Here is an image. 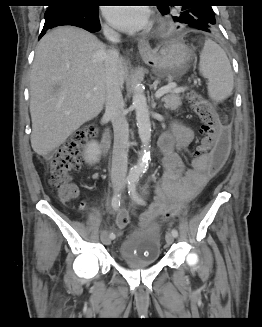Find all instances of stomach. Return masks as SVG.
I'll return each mask as SVG.
<instances>
[{
    "instance_id": "obj_1",
    "label": "stomach",
    "mask_w": 262,
    "mask_h": 327,
    "mask_svg": "<svg viewBox=\"0 0 262 327\" xmlns=\"http://www.w3.org/2000/svg\"><path fill=\"white\" fill-rule=\"evenodd\" d=\"M160 77L183 74L191 61V50L182 42H169L151 55H143Z\"/></svg>"
}]
</instances>
